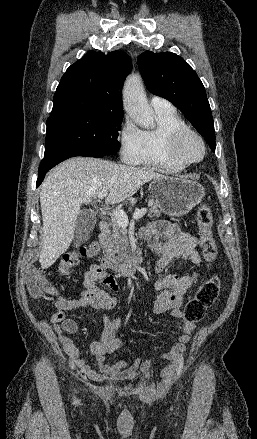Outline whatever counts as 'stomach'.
Returning <instances> with one entry per match:
<instances>
[{
	"label": "stomach",
	"mask_w": 257,
	"mask_h": 439,
	"mask_svg": "<svg viewBox=\"0 0 257 439\" xmlns=\"http://www.w3.org/2000/svg\"><path fill=\"white\" fill-rule=\"evenodd\" d=\"M149 192L163 211L171 216H183L197 206L205 196L204 187L187 176L154 179Z\"/></svg>",
	"instance_id": "0dacf381"
}]
</instances>
